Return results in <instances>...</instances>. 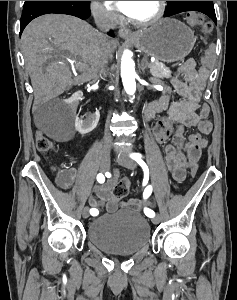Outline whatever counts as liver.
<instances>
[{
  "instance_id": "obj_1",
  "label": "liver",
  "mask_w": 237,
  "mask_h": 300,
  "mask_svg": "<svg viewBox=\"0 0 237 300\" xmlns=\"http://www.w3.org/2000/svg\"><path fill=\"white\" fill-rule=\"evenodd\" d=\"M100 43L96 29L71 15H42L31 21L22 33L21 49L35 91V105L44 95L63 93L68 81L82 85L95 79L102 65ZM111 45L116 49V41ZM70 61H76V69L82 71L74 79Z\"/></svg>"
}]
</instances>
